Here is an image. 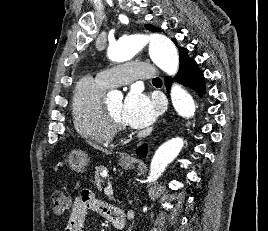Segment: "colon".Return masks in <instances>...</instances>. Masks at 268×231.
<instances>
[{
    "instance_id": "1",
    "label": "colon",
    "mask_w": 268,
    "mask_h": 231,
    "mask_svg": "<svg viewBox=\"0 0 268 231\" xmlns=\"http://www.w3.org/2000/svg\"><path fill=\"white\" fill-rule=\"evenodd\" d=\"M52 201L56 212H64L70 207L68 196L60 190H56L52 193Z\"/></svg>"
}]
</instances>
